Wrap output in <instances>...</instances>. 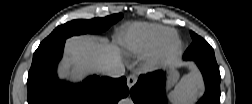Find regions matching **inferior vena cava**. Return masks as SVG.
<instances>
[{
	"instance_id": "602c4592",
	"label": "inferior vena cava",
	"mask_w": 252,
	"mask_h": 104,
	"mask_svg": "<svg viewBox=\"0 0 252 104\" xmlns=\"http://www.w3.org/2000/svg\"><path fill=\"white\" fill-rule=\"evenodd\" d=\"M103 72L109 77L119 78L125 74V67L121 62H119L105 67Z\"/></svg>"
}]
</instances>
